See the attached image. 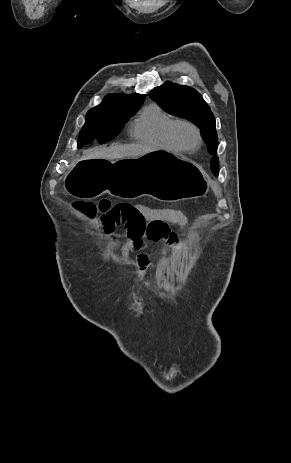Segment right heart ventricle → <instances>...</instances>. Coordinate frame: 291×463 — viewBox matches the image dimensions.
Here are the masks:
<instances>
[{"label":"right heart ventricle","mask_w":291,"mask_h":463,"mask_svg":"<svg viewBox=\"0 0 291 463\" xmlns=\"http://www.w3.org/2000/svg\"><path fill=\"white\" fill-rule=\"evenodd\" d=\"M175 119L159 106L151 104L134 121L131 134L141 144L179 151L169 138V128Z\"/></svg>","instance_id":"right-heart-ventricle-1"}]
</instances>
